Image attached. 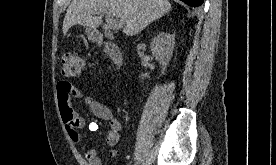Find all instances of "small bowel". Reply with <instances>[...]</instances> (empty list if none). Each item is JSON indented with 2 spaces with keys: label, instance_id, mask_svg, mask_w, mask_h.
<instances>
[{
  "label": "small bowel",
  "instance_id": "1",
  "mask_svg": "<svg viewBox=\"0 0 276 165\" xmlns=\"http://www.w3.org/2000/svg\"><path fill=\"white\" fill-rule=\"evenodd\" d=\"M72 98L83 99L97 118L108 123L105 141L111 147H114L120 139L121 122L114 116L108 106L85 94L71 82L62 80L57 83L58 108L70 140L81 147L87 165H102V161L98 157L96 150L87 146L83 141L80 130L85 126V119L73 109L71 104ZM88 127L91 131L99 128L97 122H91ZM109 155L112 158L115 157L116 151L112 149Z\"/></svg>",
  "mask_w": 276,
  "mask_h": 165
}]
</instances>
